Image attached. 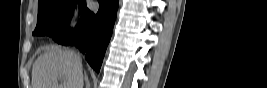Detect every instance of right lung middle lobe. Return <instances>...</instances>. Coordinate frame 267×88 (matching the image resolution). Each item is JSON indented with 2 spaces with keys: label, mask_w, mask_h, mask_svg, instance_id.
<instances>
[{
  "label": "right lung middle lobe",
  "mask_w": 267,
  "mask_h": 88,
  "mask_svg": "<svg viewBox=\"0 0 267 88\" xmlns=\"http://www.w3.org/2000/svg\"><path fill=\"white\" fill-rule=\"evenodd\" d=\"M80 0H40L38 1L37 26L33 35L56 37L69 28L73 8ZM86 3H80L82 13Z\"/></svg>",
  "instance_id": "dd1d6c3e"
}]
</instances>
